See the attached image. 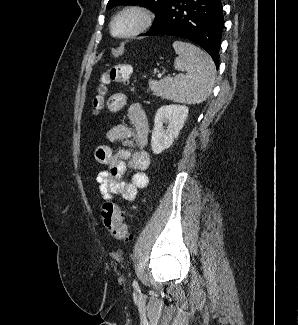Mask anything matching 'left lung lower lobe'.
<instances>
[{"label": "left lung lower lobe", "mask_w": 298, "mask_h": 325, "mask_svg": "<svg viewBox=\"0 0 298 325\" xmlns=\"http://www.w3.org/2000/svg\"><path fill=\"white\" fill-rule=\"evenodd\" d=\"M223 28L221 0H170L143 36L189 39L206 50L218 67Z\"/></svg>", "instance_id": "1"}]
</instances>
